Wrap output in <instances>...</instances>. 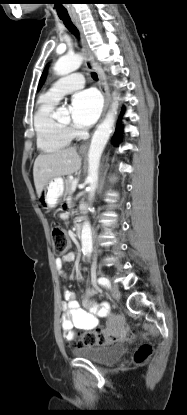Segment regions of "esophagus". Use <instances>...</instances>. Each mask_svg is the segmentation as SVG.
I'll return each instance as SVG.
<instances>
[{
	"instance_id": "obj_1",
	"label": "esophagus",
	"mask_w": 187,
	"mask_h": 415,
	"mask_svg": "<svg viewBox=\"0 0 187 415\" xmlns=\"http://www.w3.org/2000/svg\"><path fill=\"white\" fill-rule=\"evenodd\" d=\"M73 22L76 25V27H77V29L80 33V39H81V43H82V51H83V55H84V58H85V64H86L87 68L94 69L98 73V76H99L100 89H101L102 94H103L104 99H105L104 108H103V112H102V116H101V120H102L104 115H105V112L107 110L108 104H109V92H108V85H107V82H106V78H105L104 73L98 68V66H97V64L94 60L92 51L89 48V45H88L87 40L85 38L83 28H82V25H81L79 19H73ZM87 148H88V143H85V144L81 145L80 150L84 151V150H87Z\"/></svg>"
}]
</instances>
